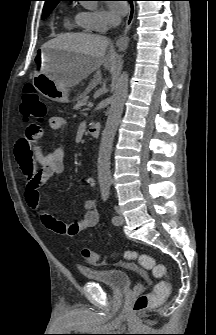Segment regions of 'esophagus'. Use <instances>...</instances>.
I'll return each instance as SVG.
<instances>
[{
	"instance_id": "esophagus-1",
	"label": "esophagus",
	"mask_w": 216,
	"mask_h": 335,
	"mask_svg": "<svg viewBox=\"0 0 216 335\" xmlns=\"http://www.w3.org/2000/svg\"><path fill=\"white\" fill-rule=\"evenodd\" d=\"M134 17H135V6L134 5H130L129 14H128V17H127V20H126L125 29H124V34L116 42L117 46L121 50L126 49L128 43H129V38L127 36V32L131 28V25H132V23L134 21Z\"/></svg>"
}]
</instances>
